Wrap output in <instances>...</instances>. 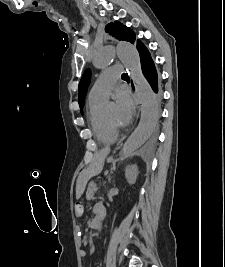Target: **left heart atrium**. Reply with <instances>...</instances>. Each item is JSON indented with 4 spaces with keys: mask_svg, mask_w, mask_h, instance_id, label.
Here are the masks:
<instances>
[{
    "mask_svg": "<svg viewBox=\"0 0 225 267\" xmlns=\"http://www.w3.org/2000/svg\"><path fill=\"white\" fill-rule=\"evenodd\" d=\"M116 123L118 126H126L132 119L134 105L130 94L120 90L116 93Z\"/></svg>",
    "mask_w": 225,
    "mask_h": 267,
    "instance_id": "obj_1",
    "label": "left heart atrium"
}]
</instances>
